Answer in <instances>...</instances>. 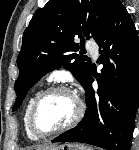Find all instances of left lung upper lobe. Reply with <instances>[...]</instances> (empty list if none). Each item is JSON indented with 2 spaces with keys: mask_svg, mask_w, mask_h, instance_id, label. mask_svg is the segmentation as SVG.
<instances>
[{
  "mask_svg": "<svg viewBox=\"0 0 139 150\" xmlns=\"http://www.w3.org/2000/svg\"><path fill=\"white\" fill-rule=\"evenodd\" d=\"M117 0H49L33 15L24 32L17 58L19 77L15 82L17 100L23 102L28 90L46 73L61 66L72 72L85 86L91 61L75 52L83 37L95 41L104 31ZM81 38V45L74 38Z\"/></svg>",
  "mask_w": 139,
  "mask_h": 150,
  "instance_id": "obj_1",
  "label": "left lung upper lobe"
}]
</instances>
